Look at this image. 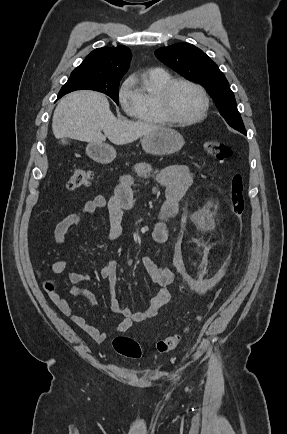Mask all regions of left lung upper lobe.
<instances>
[{
    "label": "left lung upper lobe",
    "instance_id": "5c2ea615",
    "mask_svg": "<svg viewBox=\"0 0 287 434\" xmlns=\"http://www.w3.org/2000/svg\"><path fill=\"white\" fill-rule=\"evenodd\" d=\"M155 55L186 79L204 86L226 122L238 131H245L228 81L208 55L189 43H177L159 48L155 51Z\"/></svg>",
    "mask_w": 287,
    "mask_h": 434
}]
</instances>
